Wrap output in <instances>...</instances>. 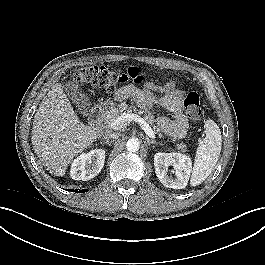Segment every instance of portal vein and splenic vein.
I'll return each mask as SVG.
<instances>
[{
  "instance_id": "obj_1",
  "label": "portal vein and splenic vein",
  "mask_w": 265,
  "mask_h": 265,
  "mask_svg": "<svg viewBox=\"0 0 265 265\" xmlns=\"http://www.w3.org/2000/svg\"><path fill=\"white\" fill-rule=\"evenodd\" d=\"M135 121L137 122L145 131V133L152 139L155 138L154 131L151 129L149 124L139 115L134 113H124L112 122L109 123V128L114 130H119L127 125V123Z\"/></svg>"
}]
</instances>
